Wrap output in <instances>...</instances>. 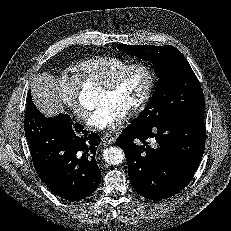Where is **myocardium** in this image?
Returning <instances> with one entry per match:
<instances>
[{"mask_svg": "<svg viewBox=\"0 0 231 231\" xmlns=\"http://www.w3.org/2000/svg\"><path fill=\"white\" fill-rule=\"evenodd\" d=\"M134 69H141L145 72L147 76V83L144 92L142 93L141 97L136 101V103L124 114V117L130 118L136 115L148 102L150 99L156 82L155 73L152 70V68L144 63V62H134L131 63L118 72H116L114 75H112L106 82L100 85V88L102 90H105L106 92H112L114 91L121 80L124 78V76Z\"/></svg>", "mask_w": 231, "mask_h": 231, "instance_id": "obj_1", "label": "myocardium"}]
</instances>
